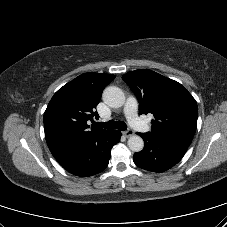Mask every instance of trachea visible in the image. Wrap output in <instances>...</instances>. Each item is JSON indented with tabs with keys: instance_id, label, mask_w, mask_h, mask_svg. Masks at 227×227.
Returning a JSON list of instances; mask_svg holds the SVG:
<instances>
[{
	"instance_id": "obj_1",
	"label": "trachea",
	"mask_w": 227,
	"mask_h": 227,
	"mask_svg": "<svg viewBox=\"0 0 227 227\" xmlns=\"http://www.w3.org/2000/svg\"><path fill=\"white\" fill-rule=\"evenodd\" d=\"M94 126L105 128V129H118V130H121V131H124V130L127 129V125H126L125 122L114 121V120H110V121L105 122V123L95 122Z\"/></svg>"
}]
</instances>
